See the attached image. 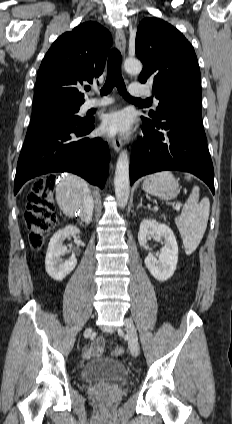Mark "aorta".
Here are the masks:
<instances>
[{
    "mask_svg": "<svg viewBox=\"0 0 232 424\" xmlns=\"http://www.w3.org/2000/svg\"><path fill=\"white\" fill-rule=\"evenodd\" d=\"M142 63L134 58H128L124 62V69L130 74H139L142 71ZM114 187L116 199L121 208L127 205L130 193L129 183V157L126 150H123L116 163Z\"/></svg>",
    "mask_w": 232,
    "mask_h": 424,
    "instance_id": "obj_1",
    "label": "aorta"
}]
</instances>
